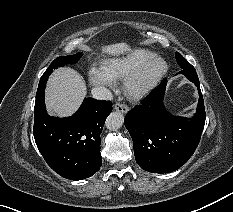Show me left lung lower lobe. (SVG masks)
I'll use <instances>...</instances> for the list:
<instances>
[{
  "label": "left lung lower lobe",
  "mask_w": 233,
  "mask_h": 212,
  "mask_svg": "<svg viewBox=\"0 0 233 212\" xmlns=\"http://www.w3.org/2000/svg\"><path fill=\"white\" fill-rule=\"evenodd\" d=\"M199 91L197 112L192 118L171 115L164 107L167 79L142 104L130 110L124 120L134 144L139 166L152 173H169L193 155L205 124V109L196 72L183 73Z\"/></svg>",
  "instance_id": "obj_1"
}]
</instances>
